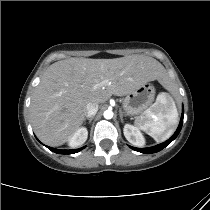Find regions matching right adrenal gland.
Segmentation results:
<instances>
[{"label":"right adrenal gland","mask_w":210,"mask_h":210,"mask_svg":"<svg viewBox=\"0 0 210 210\" xmlns=\"http://www.w3.org/2000/svg\"><path fill=\"white\" fill-rule=\"evenodd\" d=\"M93 118H94V116H92V117H88V118H85V119H84V121H86V119H87V120H89V123H91V122H92V120H93Z\"/></svg>","instance_id":"obj_1"}]
</instances>
